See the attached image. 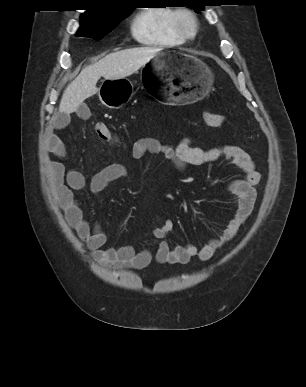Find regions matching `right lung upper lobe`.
Instances as JSON below:
<instances>
[{
  "label": "right lung upper lobe",
  "instance_id": "obj_1",
  "mask_svg": "<svg viewBox=\"0 0 306 387\" xmlns=\"http://www.w3.org/2000/svg\"><path fill=\"white\" fill-rule=\"evenodd\" d=\"M93 4L98 7L87 10L81 15V20L101 21L116 16L126 7L120 6L121 0H96Z\"/></svg>",
  "mask_w": 306,
  "mask_h": 387
}]
</instances>
